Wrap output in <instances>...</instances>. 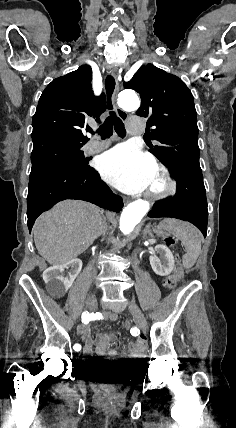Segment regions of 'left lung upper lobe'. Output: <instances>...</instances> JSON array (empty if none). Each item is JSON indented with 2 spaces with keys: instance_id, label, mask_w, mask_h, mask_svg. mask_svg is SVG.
Returning <instances> with one entry per match:
<instances>
[{
  "instance_id": "1",
  "label": "left lung upper lobe",
  "mask_w": 236,
  "mask_h": 428,
  "mask_svg": "<svg viewBox=\"0 0 236 428\" xmlns=\"http://www.w3.org/2000/svg\"><path fill=\"white\" fill-rule=\"evenodd\" d=\"M124 88L140 94L136 114L150 115L152 139L159 142L150 151L167 167L201 171L199 164L197 113L191 91L177 76L152 64L142 65ZM150 141V139H149Z\"/></svg>"
}]
</instances>
